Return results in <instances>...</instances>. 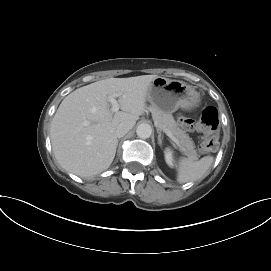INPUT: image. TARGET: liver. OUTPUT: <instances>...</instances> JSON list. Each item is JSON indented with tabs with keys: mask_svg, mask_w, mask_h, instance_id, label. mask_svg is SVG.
I'll use <instances>...</instances> for the list:
<instances>
[{
	"mask_svg": "<svg viewBox=\"0 0 271 271\" xmlns=\"http://www.w3.org/2000/svg\"><path fill=\"white\" fill-rule=\"evenodd\" d=\"M157 75L108 78L76 89L58 107L50 128L59 165L81 177L97 175L111 165L118 145L116 128L135 125L146 110L147 91ZM118 97L122 111L113 112L108 98Z\"/></svg>",
	"mask_w": 271,
	"mask_h": 271,
	"instance_id": "6515ba94",
	"label": "liver"
}]
</instances>
